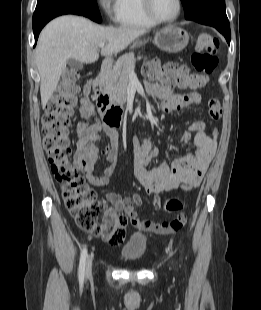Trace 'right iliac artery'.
I'll return each instance as SVG.
<instances>
[{"mask_svg": "<svg viewBox=\"0 0 261 310\" xmlns=\"http://www.w3.org/2000/svg\"><path fill=\"white\" fill-rule=\"evenodd\" d=\"M86 258H87V248L85 247L81 252L79 270H78L79 282L81 285L83 284L85 277Z\"/></svg>", "mask_w": 261, "mask_h": 310, "instance_id": "right-iliac-artery-1", "label": "right iliac artery"}]
</instances>
